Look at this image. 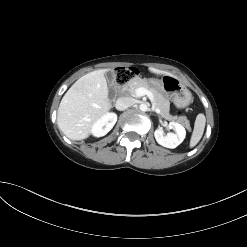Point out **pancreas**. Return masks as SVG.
I'll return each mask as SVG.
<instances>
[{
	"instance_id": "obj_1",
	"label": "pancreas",
	"mask_w": 247,
	"mask_h": 247,
	"mask_svg": "<svg viewBox=\"0 0 247 247\" xmlns=\"http://www.w3.org/2000/svg\"><path fill=\"white\" fill-rule=\"evenodd\" d=\"M140 87L146 88L152 92L154 97L153 107L155 109H159V114L161 117L167 120H177L183 123L188 130L191 129L189 120L185 116L177 117L170 115V102L162 95V93L159 92L153 80L147 82L141 78H133L123 85V90L127 91L131 96L137 97L136 90Z\"/></svg>"
}]
</instances>
